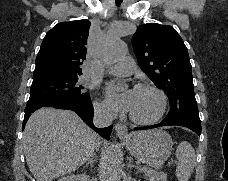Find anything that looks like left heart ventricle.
Masks as SVG:
<instances>
[{"label":"left heart ventricle","instance_id":"b2bd125f","mask_svg":"<svg viewBox=\"0 0 228 181\" xmlns=\"http://www.w3.org/2000/svg\"><path fill=\"white\" fill-rule=\"evenodd\" d=\"M116 82L119 88L126 90L128 82L124 74H116ZM128 91L131 92L132 97L131 113L139 118H148L156 112L159 106V97L156 92L148 88H132Z\"/></svg>","mask_w":228,"mask_h":181}]
</instances>
